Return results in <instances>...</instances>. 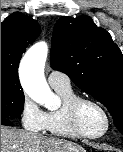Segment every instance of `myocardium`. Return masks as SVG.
<instances>
[{"label": "myocardium", "instance_id": "f54148a6", "mask_svg": "<svg viewBox=\"0 0 123 152\" xmlns=\"http://www.w3.org/2000/svg\"><path fill=\"white\" fill-rule=\"evenodd\" d=\"M83 104H92L95 107H97L104 115L105 117V128L104 130L99 133V134H89L83 131L79 124V109ZM67 116H68V121L70 123L71 128L74 130V132L82 137V138H87V139H98L103 137L110 129L111 125V119L109 116V113L107 112L106 108L98 101L88 98V97H75L73 98L67 105Z\"/></svg>", "mask_w": 123, "mask_h": 152}]
</instances>
